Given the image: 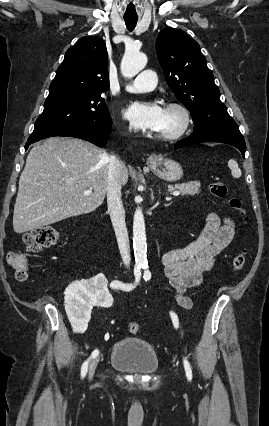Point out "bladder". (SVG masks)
Wrapping results in <instances>:
<instances>
[{
    "label": "bladder",
    "mask_w": 269,
    "mask_h": 426,
    "mask_svg": "<svg viewBox=\"0 0 269 426\" xmlns=\"http://www.w3.org/2000/svg\"><path fill=\"white\" fill-rule=\"evenodd\" d=\"M110 364L126 373L146 375L158 369L159 359L147 341L137 337H126L114 345Z\"/></svg>",
    "instance_id": "obj_1"
}]
</instances>
